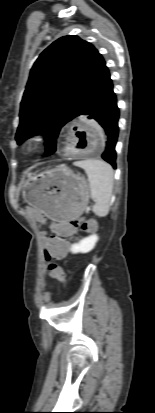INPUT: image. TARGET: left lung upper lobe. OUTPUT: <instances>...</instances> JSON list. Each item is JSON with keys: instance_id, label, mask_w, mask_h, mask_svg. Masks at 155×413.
Returning <instances> with one entry per match:
<instances>
[{"instance_id": "obj_1", "label": "left lung upper lobe", "mask_w": 155, "mask_h": 413, "mask_svg": "<svg viewBox=\"0 0 155 413\" xmlns=\"http://www.w3.org/2000/svg\"><path fill=\"white\" fill-rule=\"evenodd\" d=\"M104 67L101 54L78 36L61 37L46 48L31 69L23 95L18 144L42 133L45 156L53 154L61 127L79 116Z\"/></svg>"}]
</instances>
